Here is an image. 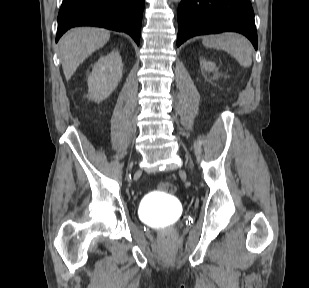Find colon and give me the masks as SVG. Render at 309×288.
Returning <instances> with one entry per match:
<instances>
[{"instance_id":"colon-1","label":"colon","mask_w":309,"mask_h":288,"mask_svg":"<svg viewBox=\"0 0 309 288\" xmlns=\"http://www.w3.org/2000/svg\"><path fill=\"white\" fill-rule=\"evenodd\" d=\"M161 189H162L164 192H166V193H173L174 190H175V187H174V185L171 184V183L164 182V183L161 184ZM170 237H171V233H170V232H165V233L163 234V238H164V239H168V238H170Z\"/></svg>"}]
</instances>
